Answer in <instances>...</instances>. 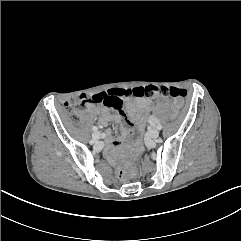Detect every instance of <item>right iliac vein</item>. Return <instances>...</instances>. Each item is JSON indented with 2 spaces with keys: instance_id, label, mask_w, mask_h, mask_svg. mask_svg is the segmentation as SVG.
Returning a JSON list of instances; mask_svg holds the SVG:
<instances>
[{
  "instance_id": "63e3f726",
  "label": "right iliac vein",
  "mask_w": 241,
  "mask_h": 241,
  "mask_svg": "<svg viewBox=\"0 0 241 241\" xmlns=\"http://www.w3.org/2000/svg\"><path fill=\"white\" fill-rule=\"evenodd\" d=\"M100 136H101V134H100L99 131H95V132L92 134V137H93L94 139H99Z\"/></svg>"
}]
</instances>
